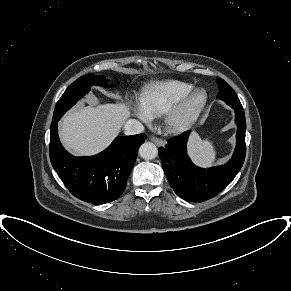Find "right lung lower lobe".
<instances>
[{"mask_svg": "<svg viewBox=\"0 0 291 291\" xmlns=\"http://www.w3.org/2000/svg\"><path fill=\"white\" fill-rule=\"evenodd\" d=\"M146 135L117 137L101 153L74 157L61 145L57 122L51 123L50 160L66 188L82 201L105 204L118 199L125 190L139 146Z\"/></svg>", "mask_w": 291, "mask_h": 291, "instance_id": "right-lung-lower-lobe-1", "label": "right lung lower lobe"}]
</instances>
